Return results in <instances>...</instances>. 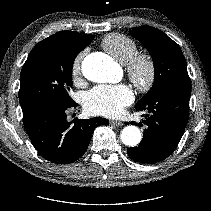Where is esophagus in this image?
<instances>
[{"label": "esophagus", "mask_w": 211, "mask_h": 211, "mask_svg": "<svg viewBox=\"0 0 211 211\" xmlns=\"http://www.w3.org/2000/svg\"><path fill=\"white\" fill-rule=\"evenodd\" d=\"M110 124H111V125H114V126H122V125H123L122 122L117 121V120H111V121H110Z\"/></svg>", "instance_id": "esophagus-1"}]
</instances>
